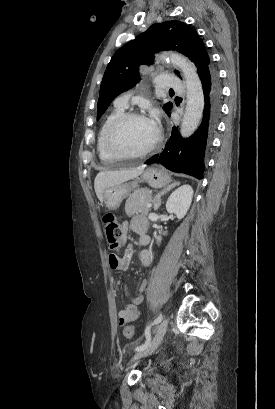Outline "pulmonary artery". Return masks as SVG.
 I'll return each instance as SVG.
<instances>
[{
    "label": "pulmonary artery",
    "instance_id": "1",
    "mask_svg": "<svg viewBox=\"0 0 275 409\" xmlns=\"http://www.w3.org/2000/svg\"><path fill=\"white\" fill-rule=\"evenodd\" d=\"M177 75L175 73H164L158 75L155 80L151 82V85L155 88H180L181 80L176 79ZM133 92L136 90L134 87L131 89ZM144 93H149L151 88L149 86H144L142 88ZM128 103V95H121L115 100V106L120 108H126Z\"/></svg>",
    "mask_w": 275,
    "mask_h": 409
}]
</instances>
